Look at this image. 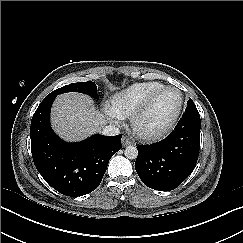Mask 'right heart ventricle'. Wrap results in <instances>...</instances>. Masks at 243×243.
<instances>
[{"label": "right heart ventricle", "mask_w": 243, "mask_h": 243, "mask_svg": "<svg viewBox=\"0 0 243 243\" xmlns=\"http://www.w3.org/2000/svg\"><path fill=\"white\" fill-rule=\"evenodd\" d=\"M164 86L158 81L133 83L112 96V111L120 117H129L151 94Z\"/></svg>", "instance_id": "right-heart-ventricle-1"}]
</instances>
